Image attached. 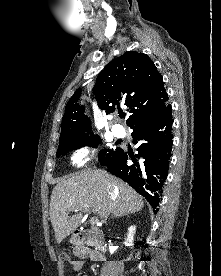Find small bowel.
Masks as SVG:
<instances>
[{
  "mask_svg": "<svg viewBox=\"0 0 221 276\" xmlns=\"http://www.w3.org/2000/svg\"><path fill=\"white\" fill-rule=\"evenodd\" d=\"M73 254L75 256V259L71 261V265L75 271L81 269L86 258H89L91 261H102L103 259V257L95 250H91L85 247L75 248Z\"/></svg>",
  "mask_w": 221,
  "mask_h": 276,
  "instance_id": "small-bowel-1",
  "label": "small bowel"
}]
</instances>
